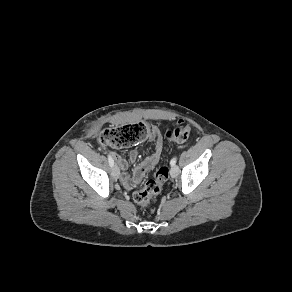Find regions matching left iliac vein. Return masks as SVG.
Returning a JSON list of instances; mask_svg holds the SVG:
<instances>
[{"mask_svg":"<svg viewBox=\"0 0 292 292\" xmlns=\"http://www.w3.org/2000/svg\"><path fill=\"white\" fill-rule=\"evenodd\" d=\"M170 175L172 178H176L179 175V168L177 166H172L170 169Z\"/></svg>","mask_w":292,"mask_h":292,"instance_id":"4c4485c4","label":"left iliac vein"}]
</instances>
